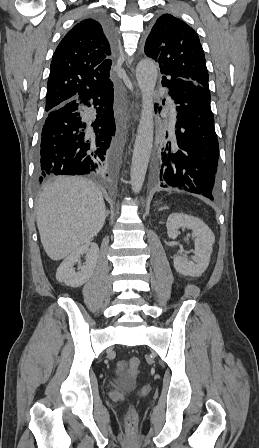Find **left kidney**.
I'll return each instance as SVG.
<instances>
[{
	"mask_svg": "<svg viewBox=\"0 0 259 448\" xmlns=\"http://www.w3.org/2000/svg\"><path fill=\"white\" fill-rule=\"evenodd\" d=\"M167 234L171 240L177 238L180 228L193 230L195 236V256L192 260H187L186 256H176L174 258V268L183 276L199 278L207 270L212 254V246L215 242L214 234L202 220L186 216V214H170L166 222Z\"/></svg>",
	"mask_w": 259,
	"mask_h": 448,
	"instance_id": "obj_1",
	"label": "left kidney"
}]
</instances>
